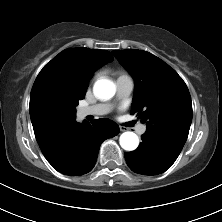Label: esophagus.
<instances>
[{"label": "esophagus", "instance_id": "esophagus-1", "mask_svg": "<svg viewBox=\"0 0 222 222\" xmlns=\"http://www.w3.org/2000/svg\"><path fill=\"white\" fill-rule=\"evenodd\" d=\"M119 129H120V131H121V132H124V131H126V130H127V128H126V127H124V126H119Z\"/></svg>", "mask_w": 222, "mask_h": 222}]
</instances>
